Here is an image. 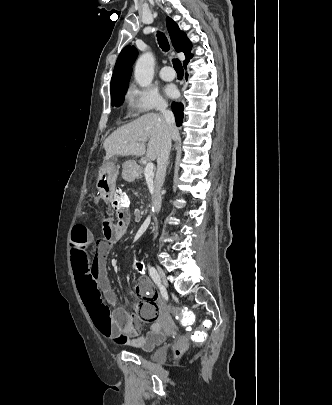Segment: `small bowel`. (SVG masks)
Instances as JSON below:
<instances>
[{"label": "small bowel", "mask_w": 332, "mask_h": 405, "mask_svg": "<svg viewBox=\"0 0 332 405\" xmlns=\"http://www.w3.org/2000/svg\"><path fill=\"white\" fill-rule=\"evenodd\" d=\"M124 168L137 170L138 166L134 160H128L124 163ZM99 171L97 203L110 205L114 197L112 187L117 181L119 166L113 159H108L106 164H100ZM113 213V220L103 221V237L96 242L86 226L75 225L72 228L69 242L70 262L79 302L85 305L91 325L107 340L119 345L155 349L156 344L164 342L161 334L166 319V306L146 279H139L134 285L133 313L123 308H112L115 295L107 276L106 257L124 236L132 217L129 208H125L124 212ZM94 244L96 254L91 258L90 250ZM104 297L107 301H104ZM145 322H150L149 329L144 335H140Z\"/></svg>", "instance_id": "small-bowel-1"}]
</instances>
